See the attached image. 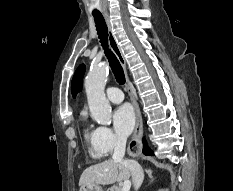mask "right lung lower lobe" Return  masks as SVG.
<instances>
[{"mask_svg": "<svg viewBox=\"0 0 233 191\" xmlns=\"http://www.w3.org/2000/svg\"><path fill=\"white\" fill-rule=\"evenodd\" d=\"M143 144H144L143 153L145 155H153V153L151 152V150L147 147L146 142H145L144 139H143Z\"/></svg>", "mask_w": 233, "mask_h": 191, "instance_id": "1", "label": "right lung lower lobe"}]
</instances>
